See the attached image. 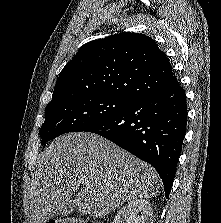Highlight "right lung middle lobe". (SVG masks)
Instances as JSON below:
<instances>
[{"instance_id": "right-lung-middle-lobe-1", "label": "right lung middle lobe", "mask_w": 221, "mask_h": 223, "mask_svg": "<svg viewBox=\"0 0 221 223\" xmlns=\"http://www.w3.org/2000/svg\"><path fill=\"white\" fill-rule=\"evenodd\" d=\"M133 101L105 95H82L47 105L41 145L68 132L86 131L126 110Z\"/></svg>"}]
</instances>
